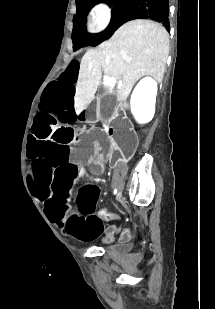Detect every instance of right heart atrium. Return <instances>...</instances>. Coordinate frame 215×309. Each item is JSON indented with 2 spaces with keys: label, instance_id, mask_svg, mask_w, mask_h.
Instances as JSON below:
<instances>
[{
  "label": "right heart atrium",
  "instance_id": "d8ad5b80",
  "mask_svg": "<svg viewBox=\"0 0 215 309\" xmlns=\"http://www.w3.org/2000/svg\"><path fill=\"white\" fill-rule=\"evenodd\" d=\"M110 13L106 6H100L90 13L89 20L96 30L109 29Z\"/></svg>",
  "mask_w": 215,
  "mask_h": 309
}]
</instances>
